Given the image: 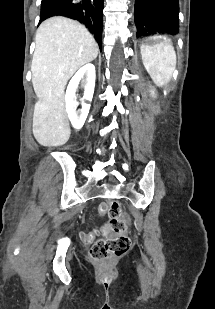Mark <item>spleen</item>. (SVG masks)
<instances>
[{
  "label": "spleen",
  "mask_w": 215,
  "mask_h": 309,
  "mask_svg": "<svg viewBox=\"0 0 215 309\" xmlns=\"http://www.w3.org/2000/svg\"><path fill=\"white\" fill-rule=\"evenodd\" d=\"M142 62L153 78L155 84H166L172 78L176 66V52L172 42H159V44H142Z\"/></svg>",
  "instance_id": "spleen-1"
}]
</instances>
